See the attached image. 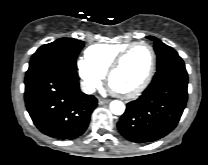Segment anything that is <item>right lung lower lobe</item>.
<instances>
[{"instance_id": "98d812e1", "label": "right lung lower lobe", "mask_w": 208, "mask_h": 165, "mask_svg": "<svg viewBox=\"0 0 208 165\" xmlns=\"http://www.w3.org/2000/svg\"><path fill=\"white\" fill-rule=\"evenodd\" d=\"M24 97L34 125L57 139H75L83 134L97 106L93 95L80 91L76 69L60 62L28 71Z\"/></svg>"}]
</instances>
